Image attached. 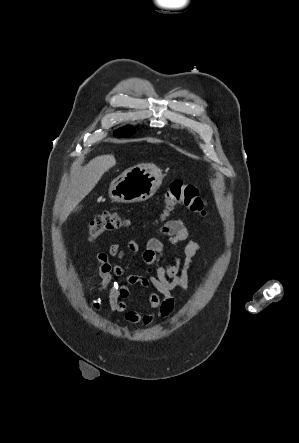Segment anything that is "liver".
Wrapping results in <instances>:
<instances>
[{"label": "liver", "mask_w": 299, "mask_h": 443, "mask_svg": "<svg viewBox=\"0 0 299 443\" xmlns=\"http://www.w3.org/2000/svg\"><path fill=\"white\" fill-rule=\"evenodd\" d=\"M116 164L113 155H101L85 165L74 179L64 202L60 223L62 224L75 207L84 199L101 179L102 175Z\"/></svg>", "instance_id": "6515ba94"}]
</instances>
